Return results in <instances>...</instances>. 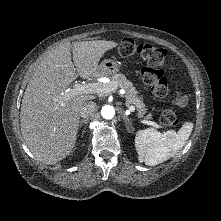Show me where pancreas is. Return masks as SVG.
<instances>
[{
    "label": "pancreas",
    "instance_id": "cf45deb5",
    "mask_svg": "<svg viewBox=\"0 0 221 221\" xmlns=\"http://www.w3.org/2000/svg\"><path fill=\"white\" fill-rule=\"evenodd\" d=\"M114 88H122L126 91V104L127 106L133 105L135 106L138 117H144L146 120L152 119V114L147 113V109L142 100V97L138 96V92L135 90L132 82L127 80V78L123 74H116L111 77V82L105 84Z\"/></svg>",
    "mask_w": 221,
    "mask_h": 221
}]
</instances>
